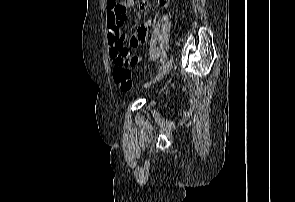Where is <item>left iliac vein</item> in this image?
I'll use <instances>...</instances> for the list:
<instances>
[{
  "instance_id": "left-iliac-vein-1",
  "label": "left iliac vein",
  "mask_w": 295,
  "mask_h": 202,
  "mask_svg": "<svg viewBox=\"0 0 295 202\" xmlns=\"http://www.w3.org/2000/svg\"><path fill=\"white\" fill-rule=\"evenodd\" d=\"M174 64V60L171 57L166 64L162 67L161 71L158 73V75L153 79V81H151L148 86H151L153 84H155L156 82L160 81L164 76H166L169 71L171 70V68L173 67Z\"/></svg>"
}]
</instances>
